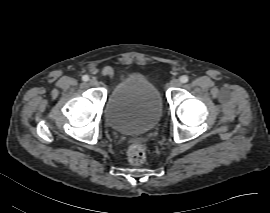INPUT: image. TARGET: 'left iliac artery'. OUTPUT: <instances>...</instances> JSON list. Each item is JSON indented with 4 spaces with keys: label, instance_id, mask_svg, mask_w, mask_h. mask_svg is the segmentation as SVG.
<instances>
[{
    "label": "left iliac artery",
    "instance_id": "1",
    "mask_svg": "<svg viewBox=\"0 0 270 213\" xmlns=\"http://www.w3.org/2000/svg\"><path fill=\"white\" fill-rule=\"evenodd\" d=\"M188 80H189V78H188V76H186V75H183V76L180 77V81H181L182 83H187Z\"/></svg>",
    "mask_w": 270,
    "mask_h": 213
}]
</instances>
